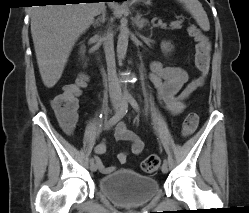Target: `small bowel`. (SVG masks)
Returning a JSON list of instances; mask_svg holds the SVG:
<instances>
[{
    "label": "small bowel",
    "instance_id": "obj_1",
    "mask_svg": "<svg viewBox=\"0 0 249 213\" xmlns=\"http://www.w3.org/2000/svg\"><path fill=\"white\" fill-rule=\"evenodd\" d=\"M188 73L185 69L173 66L164 67L160 62L153 61L151 63L150 80L157 90V97L162 107L171 115L177 116L186 108V100L197 89L198 81L193 79L188 81ZM77 121V117H76ZM76 122L73 125L66 124L61 121L62 127L68 132H72ZM114 136L119 141L130 144V153L140 155L144 149V143L141 138L131 131L126 123L119 122L114 128ZM106 152L104 142L96 144L94 147L95 161L99 170L108 174L114 170L113 166L103 164L100 156ZM128 152L123 151L117 155L120 164L127 161Z\"/></svg>",
    "mask_w": 249,
    "mask_h": 213
}]
</instances>
